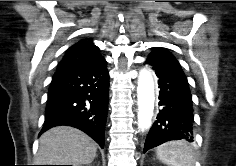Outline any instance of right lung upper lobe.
Masks as SVG:
<instances>
[{
	"mask_svg": "<svg viewBox=\"0 0 236 166\" xmlns=\"http://www.w3.org/2000/svg\"><path fill=\"white\" fill-rule=\"evenodd\" d=\"M103 61L105 59L98 52V47L94 45L93 41L84 39L71 46L65 52L57 70L88 68Z\"/></svg>",
	"mask_w": 236,
	"mask_h": 166,
	"instance_id": "right-lung-upper-lobe-1",
	"label": "right lung upper lobe"
}]
</instances>
